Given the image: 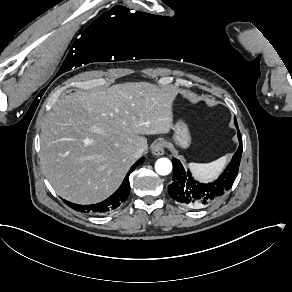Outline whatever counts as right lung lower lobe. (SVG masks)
<instances>
[{
	"label": "right lung lower lobe",
	"instance_id": "obj_1",
	"mask_svg": "<svg viewBox=\"0 0 292 292\" xmlns=\"http://www.w3.org/2000/svg\"><path fill=\"white\" fill-rule=\"evenodd\" d=\"M145 161V158H140L129 170V173L126 175L125 179L123 180V183L121 186L116 190L114 194H112L109 198L106 200L92 205H78L69 201H66L63 199V201L71 208H73L76 211H80L83 213H90V214H96V213H105L108 211H111L113 209H116L120 204L126 201V199L129 196L130 192V184L128 181L129 174L135 169V167L139 164H142Z\"/></svg>",
	"mask_w": 292,
	"mask_h": 292
}]
</instances>
